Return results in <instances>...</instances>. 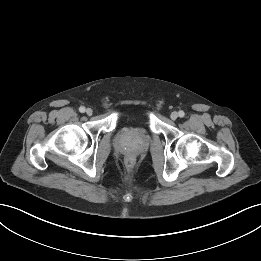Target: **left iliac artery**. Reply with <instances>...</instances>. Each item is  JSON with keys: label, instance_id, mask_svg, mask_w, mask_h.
Wrapping results in <instances>:
<instances>
[{"label": "left iliac artery", "instance_id": "left-iliac-artery-1", "mask_svg": "<svg viewBox=\"0 0 261 261\" xmlns=\"http://www.w3.org/2000/svg\"><path fill=\"white\" fill-rule=\"evenodd\" d=\"M178 115H179V117L182 118V117H184L185 113H184V111L181 110V111L178 112Z\"/></svg>", "mask_w": 261, "mask_h": 261}]
</instances>
